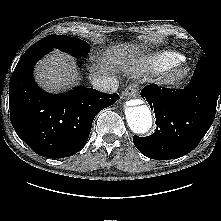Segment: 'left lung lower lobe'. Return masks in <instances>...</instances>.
I'll list each match as a JSON object with an SVG mask.
<instances>
[{
	"mask_svg": "<svg viewBox=\"0 0 221 221\" xmlns=\"http://www.w3.org/2000/svg\"><path fill=\"white\" fill-rule=\"evenodd\" d=\"M141 97L154 108L157 128L151 136H134L136 148L156 160L182 157L196 148L214 121L221 103V69L197 67L184 89L150 84Z\"/></svg>",
	"mask_w": 221,
	"mask_h": 221,
	"instance_id": "0a47b994",
	"label": "left lung lower lobe"
}]
</instances>
